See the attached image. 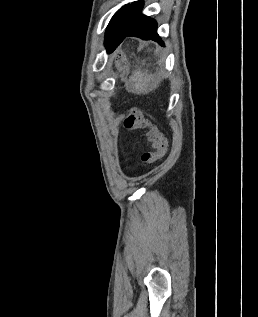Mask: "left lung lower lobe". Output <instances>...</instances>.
Wrapping results in <instances>:
<instances>
[{
    "mask_svg": "<svg viewBox=\"0 0 258 317\" xmlns=\"http://www.w3.org/2000/svg\"><path fill=\"white\" fill-rule=\"evenodd\" d=\"M143 3L133 2L129 7V16L122 29H107L105 35V46L111 53L126 37L134 36L143 40H154L164 46L157 34V23L155 20L143 15L141 10Z\"/></svg>",
    "mask_w": 258,
    "mask_h": 317,
    "instance_id": "1",
    "label": "left lung lower lobe"
}]
</instances>
